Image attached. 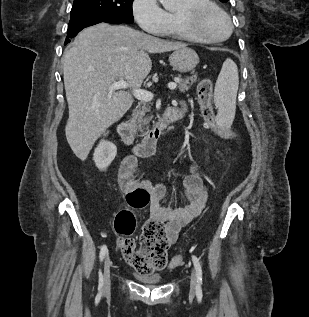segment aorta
Listing matches in <instances>:
<instances>
[{
    "mask_svg": "<svg viewBox=\"0 0 309 317\" xmlns=\"http://www.w3.org/2000/svg\"><path fill=\"white\" fill-rule=\"evenodd\" d=\"M159 1L162 4V6L167 10L172 9L176 2V0H159Z\"/></svg>",
    "mask_w": 309,
    "mask_h": 317,
    "instance_id": "aorta-1",
    "label": "aorta"
}]
</instances>
